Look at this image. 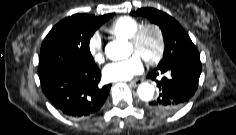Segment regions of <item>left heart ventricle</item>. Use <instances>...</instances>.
<instances>
[{"instance_id": "b2bd125f", "label": "left heart ventricle", "mask_w": 236, "mask_h": 135, "mask_svg": "<svg viewBox=\"0 0 236 135\" xmlns=\"http://www.w3.org/2000/svg\"><path fill=\"white\" fill-rule=\"evenodd\" d=\"M158 46V41H157V36L153 31L147 32L142 48L140 51V57L146 56V57H151L155 54ZM131 51L134 52L132 46H131Z\"/></svg>"}]
</instances>
